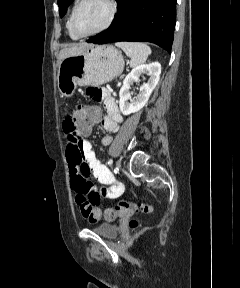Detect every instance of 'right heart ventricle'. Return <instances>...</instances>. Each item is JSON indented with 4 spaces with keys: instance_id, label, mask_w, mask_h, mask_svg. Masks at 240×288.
Returning <instances> with one entry per match:
<instances>
[{
    "instance_id": "e07e8e85",
    "label": "right heart ventricle",
    "mask_w": 240,
    "mask_h": 288,
    "mask_svg": "<svg viewBox=\"0 0 240 288\" xmlns=\"http://www.w3.org/2000/svg\"><path fill=\"white\" fill-rule=\"evenodd\" d=\"M74 8V7H73ZM71 16V15H70ZM70 16H69V18H68V20H67V22H66V28H67V31H68V34H69V36L72 38V39H74V40H76V39H78V37L71 31V29H70Z\"/></svg>"
}]
</instances>
